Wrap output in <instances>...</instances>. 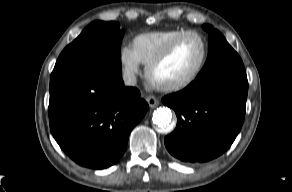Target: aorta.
<instances>
[{"label":"aorta","instance_id":"aorta-1","mask_svg":"<svg viewBox=\"0 0 292 192\" xmlns=\"http://www.w3.org/2000/svg\"><path fill=\"white\" fill-rule=\"evenodd\" d=\"M153 123L158 127L160 132L168 133L172 130V112L169 108L160 107L154 111L152 117Z\"/></svg>","mask_w":292,"mask_h":192}]
</instances>
